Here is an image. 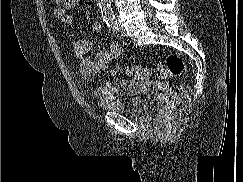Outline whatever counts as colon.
Returning a JSON list of instances; mask_svg holds the SVG:
<instances>
[{
    "label": "colon",
    "instance_id": "5ec220e1",
    "mask_svg": "<svg viewBox=\"0 0 243 182\" xmlns=\"http://www.w3.org/2000/svg\"><path fill=\"white\" fill-rule=\"evenodd\" d=\"M56 3L65 4L67 0H54ZM185 69L183 59L177 54H168L165 61L158 65L157 74L159 76H179ZM127 75L138 80L148 79L152 71L144 66H134L126 70ZM182 87L177 86L170 90L161 92L158 95L159 112L162 117L166 116L172 108L174 102L181 96Z\"/></svg>",
    "mask_w": 243,
    "mask_h": 182
}]
</instances>
